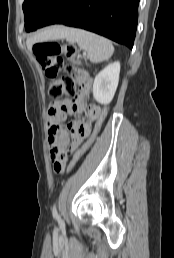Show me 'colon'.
<instances>
[{"label":"colon","mask_w":174,"mask_h":258,"mask_svg":"<svg viewBox=\"0 0 174 258\" xmlns=\"http://www.w3.org/2000/svg\"><path fill=\"white\" fill-rule=\"evenodd\" d=\"M33 52L43 72L51 80L48 90L50 97L56 100L63 95L75 96L76 77L71 68L65 64L64 58L71 62L76 61V47L71 43L48 41L35 44ZM107 114V107L99 108L93 130L87 136L86 142L74 154L68 166L69 171L74 170L80 164L85 154L92 147L102 129Z\"/></svg>","instance_id":"1"}]
</instances>
